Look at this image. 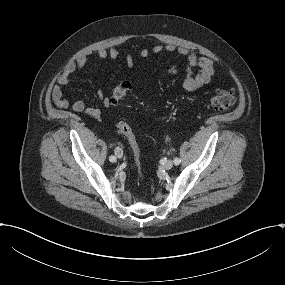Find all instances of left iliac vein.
Masks as SVG:
<instances>
[{
  "mask_svg": "<svg viewBox=\"0 0 285 285\" xmlns=\"http://www.w3.org/2000/svg\"><path fill=\"white\" fill-rule=\"evenodd\" d=\"M173 167V162L171 160H167L164 164H163V168L166 170H170Z\"/></svg>",
  "mask_w": 285,
  "mask_h": 285,
  "instance_id": "4c4485c4",
  "label": "left iliac vein"
}]
</instances>
